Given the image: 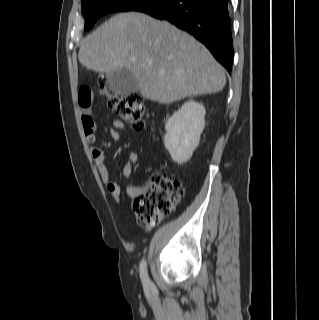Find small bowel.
Listing matches in <instances>:
<instances>
[{
    "instance_id": "1",
    "label": "small bowel",
    "mask_w": 319,
    "mask_h": 320,
    "mask_svg": "<svg viewBox=\"0 0 319 320\" xmlns=\"http://www.w3.org/2000/svg\"><path fill=\"white\" fill-rule=\"evenodd\" d=\"M79 105L81 107L80 120L85 131L86 139L88 142H95V131L97 129L96 121L93 117L92 102L93 96L92 91L88 87H82L79 91ZM126 132L125 124L115 119L113 121V127L110 131V136L114 140L120 139ZM90 154L94 165L105 183L108 191L116 201H121L122 190L121 186L113 180L110 171L105 163V149L103 147L94 146L90 149ZM139 160V155L136 152H130L127 154L124 162L121 163V171L125 178L129 179L133 173V166ZM139 192V187L129 184L126 187V194L129 197H135Z\"/></svg>"
}]
</instances>
